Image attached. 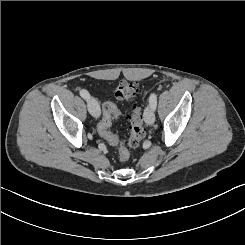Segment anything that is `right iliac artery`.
Segmentation results:
<instances>
[{"label": "right iliac artery", "mask_w": 245, "mask_h": 245, "mask_svg": "<svg viewBox=\"0 0 245 245\" xmlns=\"http://www.w3.org/2000/svg\"><path fill=\"white\" fill-rule=\"evenodd\" d=\"M80 95H81V97L84 98L85 100H88L89 97H90V94L88 93V91H87V90H84V89L80 91Z\"/></svg>", "instance_id": "1"}]
</instances>
